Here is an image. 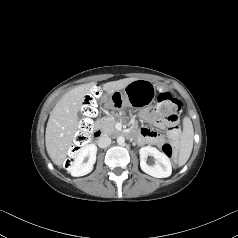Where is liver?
Masks as SVG:
<instances>
[{
    "label": "liver",
    "mask_w": 238,
    "mask_h": 238,
    "mask_svg": "<svg viewBox=\"0 0 238 238\" xmlns=\"http://www.w3.org/2000/svg\"><path fill=\"white\" fill-rule=\"evenodd\" d=\"M136 78H125L103 85V90L113 93L124 89ZM96 83L80 85L66 93L50 112L45 132L46 150L54 164L61 166L72 145L75 133L78 130L80 110L85 96L90 93Z\"/></svg>",
    "instance_id": "obj_1"
}]
</instances>
